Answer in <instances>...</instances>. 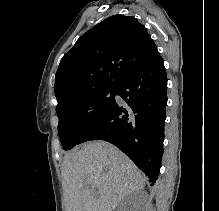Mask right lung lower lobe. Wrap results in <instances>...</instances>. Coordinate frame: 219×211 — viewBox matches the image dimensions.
Listing matches in <instances>:
<instances>
[{
    "mask_svg": "<svg viewBox=\"0 0 219 211\" xmlns=\"http://www.w3.org/2000/svg\"><path fill=\"white\" fill-rule=\"evenodd\" d=\"M167 77L161 56L126 75L114 104L78 144L104 140L117 146L155 183L163 155Z\"/></svg>",
    "mask_w": 219,
    "mask_h": 211,
    "instance_id": "right-lung-lower-lobe-1",
    "label": "right lung lower lobe"
}]
</instances>
